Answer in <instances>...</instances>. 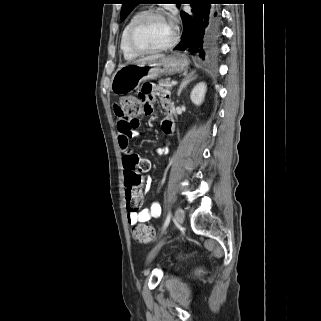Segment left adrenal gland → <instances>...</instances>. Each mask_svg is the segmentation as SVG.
<instances>
[{"label":"left adrenal gland","mask_w":321,"mask_h":321,"mask_svg":"<svg viewBox=\"0 0 321 321\" xmlns=\"http://www.w3.org/2000/svg\"><path fill=\"white\" fill-rule=\"evenodd\" d=\"M197 78V75H195V71H191L188 73L185 78L182 80L180 87L178 89L177 95L180 96L181 91L192 81H194Z\"/></svg>","instance_id":"a2214340"}]
</instances>
